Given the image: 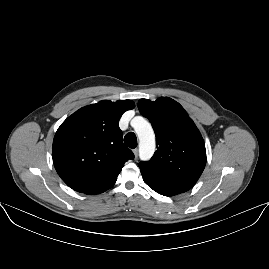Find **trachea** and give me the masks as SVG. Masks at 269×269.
<instances>
[{"instance_id":"obj_1","label":"trachea","mask_w":269,"mask_h":269,"mask_svg":"<svg viewBox=\"0 0 269 269\" xmlns=\"http://www.w3.org/2000/svg\"><path fill=\"white\" fill-rule=\"evenodd\" d=\"M124 143L132 149L136 148L137 147L136 135L133 132L127 133L124 137Z\"/></svg>"}]
</instances>
